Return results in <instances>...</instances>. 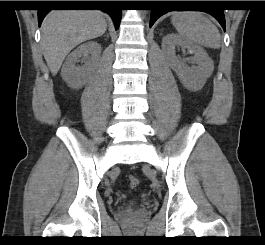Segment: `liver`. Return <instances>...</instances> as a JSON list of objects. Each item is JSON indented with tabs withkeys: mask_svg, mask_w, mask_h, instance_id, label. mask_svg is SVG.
Listing matches in <instances>:
<instances>
[{
	"mask_svg": "<svg viewBox=\"0 0 265 245\" xmlns=\"http://www.w3.org/2000/svg\"><path fill=\"white\" fill-rule=\"evenodd\" d=\"M107 23L97 10H54L42 23V49L53 75L69 52L84 41L102 36Z\"/></svg>",
	"mask_w": 265,
	"mask_h": 245,
	"instance_id": "1",
	"label": "liver"
}]
</instances>
